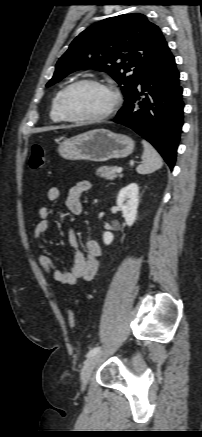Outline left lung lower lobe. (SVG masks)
Instances as JSON below:
<instances>
[{
    "label": "left lung lower lobe",
    "mask_w": 202,
    "mask_h": 437,
    "mask_svg": "<svg viewBox=\"0 0 202 437\" xmlns=\"http://www.w3.org/2000/svg\"><path fill=\"white\" fill-rule=\"evenodd\" d=\"M179 77L174 56L167 48L113 120L148 140L170 169L175 165L183 125V89Z\"/></svg>",
    "instance_id": "1"
}]
</instances>
